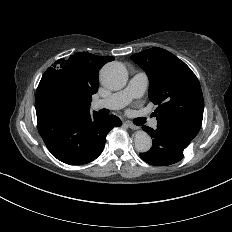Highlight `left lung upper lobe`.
<instances>
[{
	"mask_svg": "<svg viewBox=\"0 0 232 232\" xmlns=\"http://www.w3.org/2000/svg\"><path fill=\"white\" fill-rule=\"evenodd\" d=\"M150 80L149 99L157 127L190 143L201 128L204 100L192 70L165 49L154 47L131 56Z\"/></svg>",
	"mask_w": 232,
	"mask_h": 232,
	"instance_id": "5c2ea615",
	"label": "left lung upper lobe"
}]
</instances>
